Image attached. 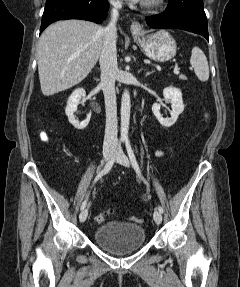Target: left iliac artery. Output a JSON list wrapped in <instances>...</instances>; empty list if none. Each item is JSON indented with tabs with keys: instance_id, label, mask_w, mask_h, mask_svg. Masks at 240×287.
Returning <instances> with one entry per match:
<instances>
[{
	"instance_id": "left-iliac-artery-1",
	"label": "left iliac artery",
	"mask_w": 240,
	"mask_h": 287,
	"mask_svg": "<svg viewBox=\"0 0 240 287\" xmlns=\"http://www.w3.org/2000/svg\"><path fill=\"white\" fill-rule=\"evenodd\" d=\"M125 143H126L128 156L130 158V161L132 163V166H133L134 170L136 171L138 176L141 177L144 180V182L147 184L146 180L141 175V171H140L139 165L137 163L136 157H135L134 152H133V150L131 148L129 140H126ZM158 210H159V212L163 213V208L161 206H158Z\"/></svg>"
}]
</instances>
